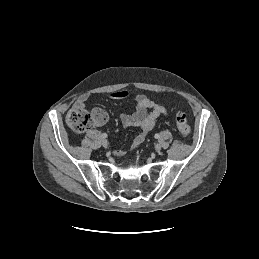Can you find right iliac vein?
Returning a JSON list of instances; mask_svg holds the SVG:
<instances>
[{
    "label": "right iliac vein",
    "instance_id": "obj_1",
    "mask_svg": "<svg viewBox=\"0 0 259 259\" xmlns=\"http://www.w3.org/2000/svg\"><path fill=\"white\" fill-rule=\"evenodd\" d=\"M102 145H103V147H108V141L106 140V139H103L102 140Z\"/></svg>",
    "mask_w": 259,
    "mask_h": 259
}]
</instances>
